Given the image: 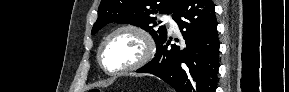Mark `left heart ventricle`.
<instances>
[{
  "label": "left heart ventricle",
  "mask_w": 289,
  "mask_h": 92,
  "mask_svg": "<svg viewBox=\"0 0 289 92\" xmlns=\"http://www.w3.org/2000/svg\"><path fill=\"white\" fill-rule=\"evenodd\" d=\"M142 51V43L136 35L122 32L112 37L106 44L102 61L108 70H118L135 63Z\"/></svg>",
  "instance_id": "1"
}]
</instances>
